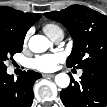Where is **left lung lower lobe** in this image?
<instances>
[{"mask_svg":"<svg viewBox=\"0 0 107 107\" xmlns=\"http://www.w3.org/2000/svg\"><path fill=\"white\" fill-rule=\"evenodd\" d=\"M81 81L72 79L71 85L60 92L66 107L107 106V66L83 68Z\"/></svg>","mask_w":107,"mask_h":107,"instance_id":"left-lung-lower-lobe-1","label":"left lung lower lobe"}]
</instances>
